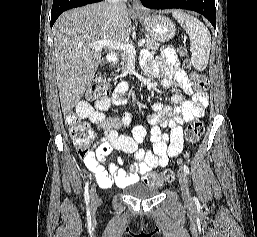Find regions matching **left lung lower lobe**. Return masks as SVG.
<instances>
[{"instance_id":"1","label":"left lung lower lobe","mask_w":257,"mask_h":237,"mask_svg":"<svg viewBox=\"0 0 257 237\" xmlns=\"http://www.w3.org/2000/svg\"><path fill=\"white\" fill-rule=\"evenodd\" d=\"M141 3L150 9L181 8L196 11L216 28L215 0H141Z\"/></svg>"}]
</instances>
